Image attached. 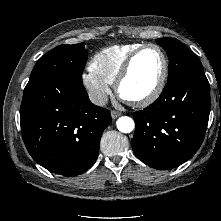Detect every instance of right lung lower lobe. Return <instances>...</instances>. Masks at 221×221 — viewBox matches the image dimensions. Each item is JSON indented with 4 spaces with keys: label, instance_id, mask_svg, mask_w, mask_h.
Listing matches in <instances>:
<instances>
[{
    "label": "right lung lower lobe",
    "instance_id": "obj_1",
    "mask_svg": "<svg viewBox=\"0 0 221 221\" xmlns=\"http://www.w3.org/2000/svg\"><path fill=\"white\" fill-rule=\"evenodd\" d=\"M20 123L25 146L38 164L56 174L76 176L96 161L111 115L91 103L82 83L29 80Z\"/></svg>",
    "mask_w": 221,
    "mask_h": 221
}]
</instances>
